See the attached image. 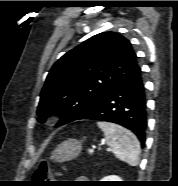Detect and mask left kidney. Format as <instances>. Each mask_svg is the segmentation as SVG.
I'll list each match as a JSON object with an SVG mask.
<instances>
[{"mask_svg":"<svg viewBox=\"0 0 178 186\" xmlns=\"http://www.w3.org/2000/svg\"><path fill=\"white\" fill-rule=\"evenodd\" d=\"M102 181H121L120 177L118 176H107L102 179Z\"/></svg>","mask_w":178,"mask_h":186,"instance_id":"1","label":"left kidney"}]
</instances>
